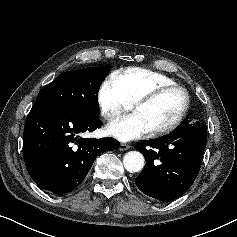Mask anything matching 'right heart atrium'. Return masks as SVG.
<instances>
[{
	"label": "right heart atrium",
	"mask_w": 237,
	"mask_h": 237,
	"mask_svg": "<svg viewBox=\"0 0 237 237\" xmlns=\"http://www.w3.org/2000/svg\"><path fill=\"white\" fill-rule=\"evenodd\" d=\"M100 115L106 121L114 120L129 104L113 77L104 79L97 92Z\"/></svg>",
	"instance_id": "obj_1"
}]
</instances>
